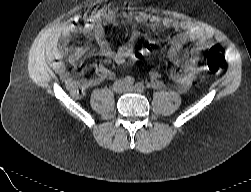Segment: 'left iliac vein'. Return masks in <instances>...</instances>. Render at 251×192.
<instances>
[{
    "instance_id": "4c4485c4",
    "label": "left iliac vein",
    "mask_w": 251,
    "mask_h": 192,
    "mask_svg": "<svg viewBox=\"0 0 251 192\" xmlns=\"http://www.w3.org/2000/svg\"><path fill=\"white\" fill-rule=\"evenodd\" d=\"M128 90H134V87H127Z\"/></svg>"
}]
</instances>
